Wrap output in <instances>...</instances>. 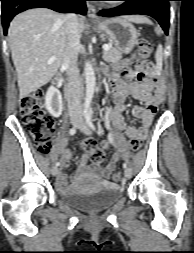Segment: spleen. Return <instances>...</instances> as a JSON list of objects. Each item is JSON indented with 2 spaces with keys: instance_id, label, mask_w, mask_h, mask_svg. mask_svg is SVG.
Returning <instances> with one entry per match:
<instances>
[{
  "instance_id": "3e777b00",
  "label": "spleen",
  "mask_w": 194,
  "mask_h": 253,
  "mask_svg": "<svg viewBox=\"0 0 194 253\" xmlns=\"http://www.w3.org/2000/svg\"><path fill=\"white\" fill-rule=\"evenodd\" d=\"M155 60H156V73L157 75L161 74L162 71V62H163V48L162 45H158L156 53H155Z\"/></svg>"
}]
</instances>
